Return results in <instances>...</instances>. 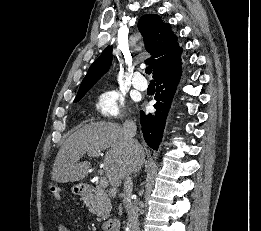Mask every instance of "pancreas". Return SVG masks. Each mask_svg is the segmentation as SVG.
<instances>
[{
	"mask_svg": "<svg viewBox=\"0 0 261 231\" xmlns=\"http://www.w3.org/2000/svg\"><path fill=\"white\" fill-rule=\"evenodd\" d=\"M86 205L89 211L98 216L97 221L101 222L110 217L111 200L106 191L101 187L94 189V194L86 198Z\"/></svg>",
	"mask_w": 261,
	"mask_h": 231,
	"instance_id": "obj_1",
	"label": "pancreas"
}]
</instances>
